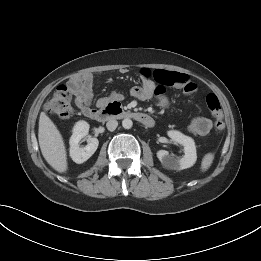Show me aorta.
Returning <instances> with one entry per match:
<instances>
[{
	"label": "aorta",
	"mask_w": 261,
	"mask_h": 261,
	"mask_svg": "<svg viewBox=\"0 0 261 261\" xmlns=\"http://www.w3.org/2000/svg\"><path fill=\"white\" fill-rule=\"evenodd\" d=\"M122 126L123 128L125 129H130L132 126H133V122L131 119L129 118H126L122 121Z\"/></svg>",
	"instance_id": "obj_1"
}]
</instances>
